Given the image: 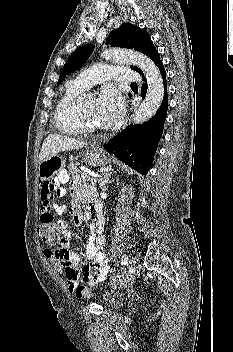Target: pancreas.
<instances>
[{
	"instance_id": "obj_1",
	"label": "pancreas",
	"mask_w": 233,
	"mask_h": 352,
	"mask_svg": "<svg viewBox=\"0 0 233 352\" xmlns=\"http://www.w3.org/2000/svg\"><path fill=\"white\" fill-rule=\"evenodd\" d=\"M77 163H70L68 166V169L70 171L71 178L76 181H81V182H91L92 184L96 183V178H91L88 176L86 173L82 172L77 168Z\"/></svg>"
}]
</instances>
